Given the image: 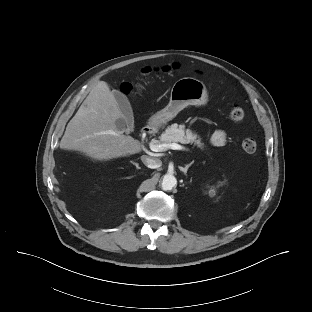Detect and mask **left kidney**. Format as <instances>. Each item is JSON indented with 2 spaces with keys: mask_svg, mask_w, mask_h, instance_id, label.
Returning a JSON list of instances; mask_svg holds the SVG:
<instances>
[{
  "mask_svg": "<svg viewBox=\"0 0 312 312\" xmlns=\"http://www.w3.org/2000/svg\"><path fill=\"white\" fill-rule=\"evenodd\" d=\"M209 194L212 195V196H214V195H215V189H214V188H211V189L209 190Z\"/></svg>",
  "mask_w": 312,
  "mask_h": 312,
  "instance_id": "obj_1",
  "label": "left kidney"
}]
</instances>
